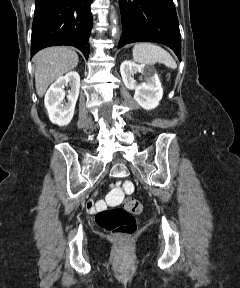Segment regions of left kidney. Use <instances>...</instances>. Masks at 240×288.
<instances>
[{"instance_id": "obj_1", "label": "left kidney", "mask_w": 240, "mask_h": 288, "mask_svg": "<svg viewBox=\"0 0 240 288\" xmlns=\"http://www.w3.org/2000/svg\"><path fill=\"white\" fill-rule=\"evenodd\" d=\"M120 73L125 86L135 90L134 100L144 109H155L163 96V89L155 70L145 65H138L132 61H123ZM141 73L145 82L137 84L134 75Z\"/></svg>"}]
</instances>
